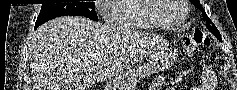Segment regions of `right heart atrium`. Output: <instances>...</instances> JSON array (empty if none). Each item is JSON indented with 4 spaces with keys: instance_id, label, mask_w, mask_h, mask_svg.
<instances>
[{
    "instance_id": "1",
    "label": "right heart atrium",
    "mask_w": 237,
    "mask_h": 90,
    "mask_svg": "<svg viewBox=\"0 0 237 90\" xmlns=\"http://www.w3.org/2000/svg\"><path fill=\"white\" fill-rule=\"evenodd\" d=\"M102 3H113L114 0H101ZM101 13V16L105 17L104 13L103 12H100Z\"/></svg>"
}]
</instances>
